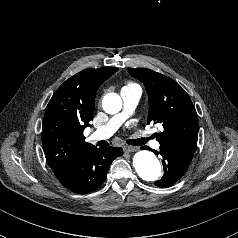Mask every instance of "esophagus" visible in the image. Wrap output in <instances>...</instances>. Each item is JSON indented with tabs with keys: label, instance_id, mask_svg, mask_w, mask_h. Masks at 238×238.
Segmentation results:
<instances>
[{
	"label": "esophagus",
	"instance_id": "esophagus-1",
	"mask_svg": "<svg viewBox=\"0 0 238 238\" xmlns=\"http://www.w3.org/2000/svg\"><path fill=\"white\" fill-rule=\"evenodd\" d=\"M124 150H125V152H128V153L135 152V151L138 150V147H135V146H125Z\"/></svg>",
	"mask_w": 238,
	"mask_h": 238
}]
</instances>
